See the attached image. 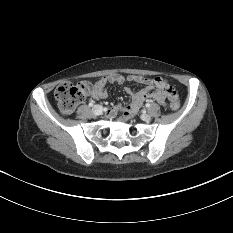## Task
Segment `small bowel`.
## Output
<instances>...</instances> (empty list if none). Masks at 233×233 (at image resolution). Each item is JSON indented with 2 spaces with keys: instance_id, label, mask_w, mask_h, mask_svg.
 Returning <instances> with one entry per match:
<instances>
[{
  "instance_id": "small-bowel-1",
  "label": "small bowel",
  "mask_w": 233,
  "mask_h": 233,
  "mask_svg": "<svg viewBox=\"0 0 233 233\" xmlns=\"http://www.w3.org/2000/svg\"><path fill=\"white\" fill-rule=\"evenodd\" d=\"M125 82H134L144 84L145 87L136 92L130 87L125 88V92L130 96L131 101L127 106H117L108 111L110 116L114 115L118 110H122L124 118L126 120L133 117L144 101L148 99H154L159 104L165 105L166 98L176 93L175 90L169 86L163 78L155 77L152 79L144 78L140 75H129L127 77L121 74H109L100 78L93 86L92 98L93 99H105L107 97L106 86L109 83L123 84Z\"/></svg>"
}]
</instances>
